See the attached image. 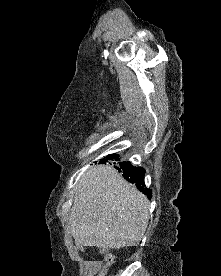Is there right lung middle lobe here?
I'll return each mask as SVG.
<instances>
[{
	"label": "right lung middle lobe",
	"mask_w": 221,
	"mask_h": 276,
	"mask_svg": "<svg viewBox=\"0 0 221 276\" xmlns=\"http://www.w3.org/2000/svg\"><path fill=\"white\" fill-rule=\"evenodd\" d=\"M108 160H115V161H118L119 160V156L116 155V154H110V155H107L105 158L101 159L100 163H105V161H108Z\"/></svg>",
	"instance_id": "obj_1"
}]
</instances>
